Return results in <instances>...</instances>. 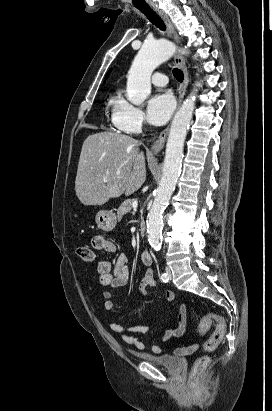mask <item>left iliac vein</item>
<instances>
[{
  "label": "left iliac vein",
  "mask_w": 272,
  "mask_h": 411,
  "mask_svg": "<svg viewBox=\"0 0 272 411\" xmlns=\"http://www.w3.org/2000/svg\"><path fill=\"white\" fill-rule=\"evenodd\" d=\"M166 274L168 278L171 280L172 279V271L170 267H166Z\"/></svg>",
  "instance_id": "4c4485c4"
}]
</instances>
